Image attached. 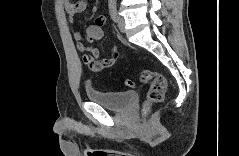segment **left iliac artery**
I'll use <instances>...</instances> for the list:
<instances>
[{
    "label": "left iliac artery",
    "mask_w": 239,
    "mask_h": 156,
    "mask_svg": "<svg viewBox=\"0 0 239 156\" xmlns=\"http://www.w3.org/2000/svg\"><path fill=\"white\" fill-rule=\"evenodd\" d=\"M109 13L114 22H117L119 19L118 12H117V5L115 2L109 3Z\"/></svg>",
    "instance_id": "1"
}]
</instances>
